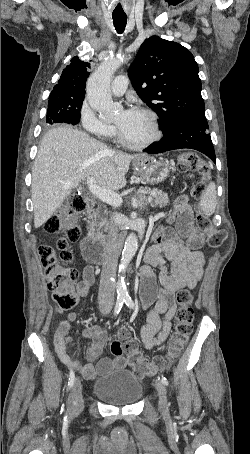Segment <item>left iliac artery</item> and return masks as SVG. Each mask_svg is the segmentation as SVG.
<instances>
[{"instance_id": "1", "label": "left iliac artery", "mask_w": 250, "mask_h": 454, "mask_svg": "<svg viewBox=\"0 0 250 454\" xmlns=\"http://www.w3.org/2000/svg\"><path fill=\"white\" fill-rule=\"evenodd\" d=\"M124 302H125V304H126L129 308H131V309H134V308H135V304H134V302H133V300L131 299L130 296H127V297L124 299ZM161 382H162L164 385H166V386L168 385V380H167L166 377H164L163 375H162V377H161Z\"/></svg>"}]
</instances>
